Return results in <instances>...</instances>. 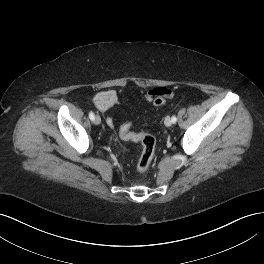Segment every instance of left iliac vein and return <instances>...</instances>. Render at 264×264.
<instances>
[{"label":"left iliac vein","mask_w":264,"mask_h":264,"mask_svg":"<svg viewBox=\"0 0 264 264\" xmlns=\"http://www.w3.org/2000/svg\"><path fill=\"white\" fill-rule=\"evenodd\" d=\"M164 124L167 126V127H170L172 125V120L170 117H166L165 118V121H164Z\"/></svg>","instance_id":"4c4485c4"}]
</instances>
